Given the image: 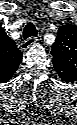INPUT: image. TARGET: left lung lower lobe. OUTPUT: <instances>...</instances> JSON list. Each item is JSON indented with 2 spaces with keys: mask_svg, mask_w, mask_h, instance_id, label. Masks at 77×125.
I'll use <instances>...</instances> for the list:
<instances>
[{
  "mask_svg": "<svg viewBox=\"0 0 77 125\" xmlns=\"http://www.w3.org/2000/svg\"><path fill=\"white\" fill-rule=\"evenodd\" d=\"M54 69L60 76L62 80L65 82H71L75 77V68L66 66V65H59L54 66Z\"/></svg>",
  "mask_w": 77,
  "mask_h": 125,
  "instance_id": "obj_1",
  "label": "left lung lower lobe"
}]
</instances>
